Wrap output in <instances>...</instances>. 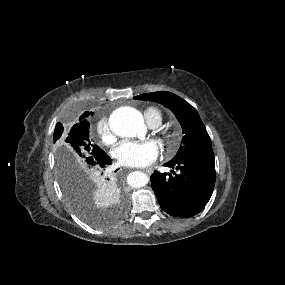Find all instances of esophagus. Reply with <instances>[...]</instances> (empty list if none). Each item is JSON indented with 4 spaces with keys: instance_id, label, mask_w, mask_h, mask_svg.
Returning a JSON list of instances; mask_svg holds the SVG:
<instances>
[{
    "instance_id": "esophagus-1",
    "label": "esophagus",
    "mask_w": 285,
    "mask_h": 285,
    "mask_svg": "<svg viewBox=\"0 0 285 285\" xmlns=\"http://www.w3.org/2000/svg\"><path fill=\"white\" fill-rule=\"evenodd\" d=\"M142 171L146 172L147 174H152L153 173V170L151 168H145Z\"/></svg>"
}]
</instances>
